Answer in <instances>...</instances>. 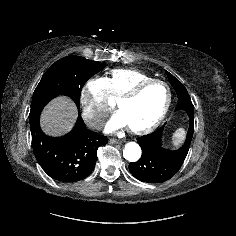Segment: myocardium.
I'll use <instances>...</instances> for the list:
<instances>
[{
  "instance_id": "1",
  "label": "myocardium",
  "mask_w": 236,
  "mask_h": 236,
  "mask_svg": "<svg viewBox=\"0 0 236 236\" xmlns=\"http://www.w3.org/2000/svg\"><path fill=\"white\" fill-rule=\"evenodd\" d=\"M153 84H161L166 88L167 93H168L167 102L164 105V107L161 110L158 117L152 123H150L146 126H143V127H139V128L129 127V130L134 134L142 135V134L149 133V132L153 131L154 129H156L161 124V122L165 118V116L168 113L170 106L172 104L173 94H172L171 87L169 86V84L167 82H165L163 80L150 79V80H147L145 82H142V83L136 85L130 91H128L127 93H125L124 95L120 96L117 99L116 106H117V109L120 111V108L123 104L129 103V102L135 100L146 88H148L149 86H151Z\"/></svg>"
}]
</instances>
